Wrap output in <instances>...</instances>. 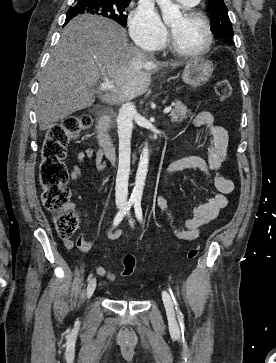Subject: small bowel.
<instances>
[{
	"mask_svg": "<svg viewBox=\"0 0 276 363\" xmlns=\"http://www.w3.org/2000/svg\"><path fill=\"white\" fill-rule=\"evenodd\" d=\"M195 126H205L209 131V147L207 160L201 157H188L172 163L168 170L167 176L175 172L194 169L199 170L206 176L211 177L217 193L213 194L205 203L198 205L191 211L189 218L182 222V226L176 225V219L171 210L169 201L164 196H157L155 201L158 207L166 214L171 225L173 235L179 242H190L197 239L201 233L202 227L217 218L221 209L229 203L227 195L234 191V182L223 176L220 169L226 161L229 137L226 129L215 123L213 115L208 111L199 112L192 121ZM77 164L71 167V179L77 180L82 173V164L86 161L94 160L98 170L104 168L103 156L100 152H95L92 148L75 154ZM84 221L87 220L86 212H83ZM110 239L119 238L122 233L111 229L109 231ZM92 241L86 238V230H83L77 237L76 245L84 253L89 252L92 247ZM68 249L73 247V243L65 241ZM98 276L105 277L111 282L118 280V274L107 271L103 266H96L94 269ZM124 275V274H123Z\"/></svg>",
	"mask_w": 276,
	"mask_h": 363,
	"instance_id": "c3829d8e",
	"label": "small bowel"
}]
</instances>
